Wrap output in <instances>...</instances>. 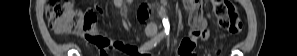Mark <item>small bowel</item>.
<instances>
[{"label": "small bowel", "mask_w": 297, "mask_h": 56, "mask_svg": "<svg viewBox=\"0 0 297 56\" xmlns=\"http://www.w3.org/2000/svg\"><path fill=\"white\" fill-rule=\"evenodd\" d=\"M117 7L124 6L127 1L113 0ZM185 7L190 12V29L191 33L188 37L184 38L177 48V53L181 56H195L193 49L198 39L208 41L210 38V30L208 29V20L201 13L200 3L194 0L185 1ZM151 9L148 6H143L139 12V20L144 22L150 15ZM85 41L88 45H94V49H100V55L105 56L107 50L117 49L125 52L131 56H150V54H141L132 45L126 44L121 41H109L108 36H102V33H84Z\"/></svg>", "instance_id": "obj_1"}]
</instances>
